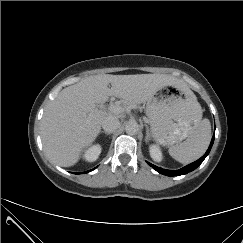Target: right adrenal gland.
I'll return each mask as SVG.
<instances>
[{"mask_svg":"<svg viewBox=\"0 0 243 243\" xmlns=\"http://www.w3.org/2000/svg\"><path fill=\"white\" fill-rule=\"evenodd\" d=\"M102 133L106 134L107 136L111 134V132H105V131H101V134Z\"/></svg>","mask_w":243,"mask_h":243,"instance_id":"obj_1","label":"right adrenal gland"}]
</instances>
